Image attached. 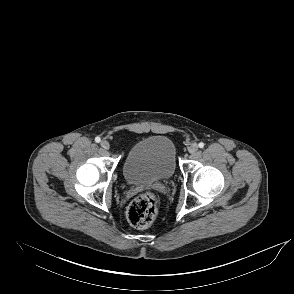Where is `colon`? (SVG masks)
Here are the masks:
<instances>
[{
    "instance_id": "colon-1",
    "label": "colon",
    "mask_w": 294,
    "mask_h": 294,
    "mask_svg": "<svg viewBox=\"0 0 294 294\" xmlns=\"http://www.w3.org/2000/svg\"><path fill=\"white\" fill-rule=\"evenodd\" d=\"M157 213V197L151 192H146L131 201L127 209V219L133 227L143 229L154 222Z\"/></svg>"
}]
</instances>
